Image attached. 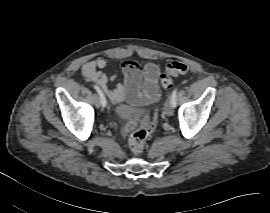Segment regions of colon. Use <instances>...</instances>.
I'll return each instance as SVG.
<instances>
[{
    "mask_svg": "<svg viewBox=\"0 0 270 213\" xmlns=\"http://www.w3.org/2000/svg\"><path fill=\"white\" fill-rule=\"evenodd\" d=\"M189 71V66L182 61H173L166 65L165 71L162 73L160 81L165 89L173 88V76L184 74ZM156 127V114L154 113L147 123L132 132L128 136V145L134 155H140L144 148L147 137L154 131Z\"/></svg>",
    "mask_w": 270,
    "mask_h": 213,
    "instance_id": "5ec220e1",
    "label": "colon"
}]
</instances>
